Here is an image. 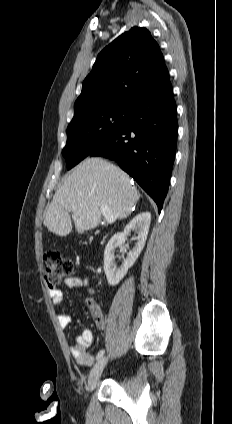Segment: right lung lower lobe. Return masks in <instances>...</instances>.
<instances>
[{
  "label": "right lung lower lobe",
  "mask_w": 232,
  "mask_h": 424,
  "mask_svg": "<svg viewBox=\"0 0 232 424\" xmlns=\"http://www.w3.org/2000/svg\"><path fill=\"white\" fill-rule=\"evenodd\" d=\"M177 143V111L169 74L131 106L127 123L88 156L115 160L153 198L160 212Z\"/></svg>",
  "instance_id": "right-lung-lower-lobe-1"
}]
</instances>
